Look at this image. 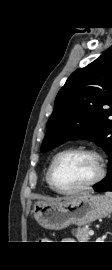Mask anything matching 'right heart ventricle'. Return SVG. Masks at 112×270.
<instances>
[{"instance_id": "right-heart-ventricle-1", "label": "right heart ventricle", "mask_w": 112, "mask_h": 270, "mask_svg": "<svg viewBox=\"0 0 112 270\" xmlns=\"http://www.w3.org/2000/svg\"><path fill=\"white\" fill-rule=\"evenodd\" d=\"M45 179H46V183L49 185L48 180H47V173H46ZM49 187H50V185H49Z\"/></svg>"}]
</instances>
